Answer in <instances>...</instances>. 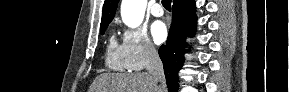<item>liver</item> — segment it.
<instances>
[{
    "mask_svg": "<svg viewBox=\"0 0 289 92\" xmlns=\"http://www.w3.org/2000/svg\"><path fill=\"white\" fill-rule=\"evenodd\" d=\"M149 73H103L96 77L90 92H160ZM161 92H166L164 89Z\"/></svg>",
    "mask_w": 289,
    "mask_h": 92,
    "instance_id": "6515ba94",
    "label": "liver"
}]
</instances>
